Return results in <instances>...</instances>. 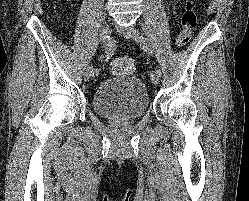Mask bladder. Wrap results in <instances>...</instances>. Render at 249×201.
Instances as JSON below:
<instances>
[{
  "label": "bladder",
  "instance_id": "1",
  "mask_svg": "<svg viewBox=\"0 0 249 201\" xmlns=\"http://www.w3.org/2000/svg\"><path fill=\"white\" fill-rule=\"evenodd\" d=\"M93 109L101 117L132 120L143 116L149 108V98L136 76H116L102 80L93 98Z\"/></svg>",
  "mask_w": 249,
  "mask_h": 201
}]
</instances>
